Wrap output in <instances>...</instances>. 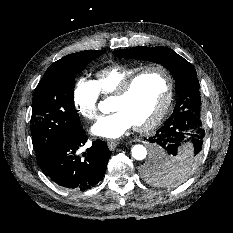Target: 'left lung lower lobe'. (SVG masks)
Listing matches in <instances>:
<instances>
[{"mask_svg":"<svg viewBox=\"0 0 233 233\" xmlns=\"http://www.w3.org/2000/svg\"><path fill=\"white\" fill-rule=\"evenodd\" d=\"M205 131L199 119L176 118L168 120L149 138L153 151L144 174L154 172L167 160L180 159L186 156L200 158ZM162 183L173 184L174 180L161 179Z\"/></svg>","mask_w":233,"mask_h":233,"instance_id":"0a47b994","label":"left lung lower lobe"}]
</instances>
